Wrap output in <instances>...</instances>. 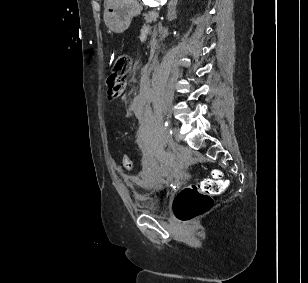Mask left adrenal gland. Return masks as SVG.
I'll return each instance as SVG.
<instances>
[{
    "instance_id": "left-adrenal-gland-1",
    "label": "left adrenal gland",
    "mask_w": 308,
    "mask_h": 283,
    "mask_svg": "<svg viewBox=\"0 0 308 283\" xmlns=\"http://www.w3.org/2000/svg\"><path fill=\"white\" fill-rule=\"evenodd\" d=\"M178 0H170L168 4V20L172 21L176 19V6Z\"/></svg>"
}]
</instances>
